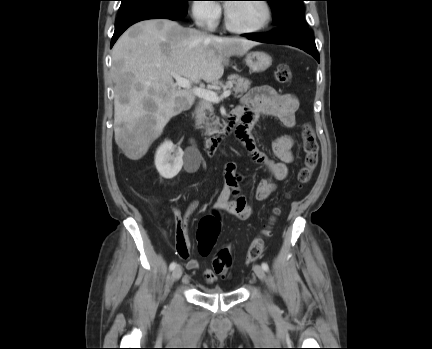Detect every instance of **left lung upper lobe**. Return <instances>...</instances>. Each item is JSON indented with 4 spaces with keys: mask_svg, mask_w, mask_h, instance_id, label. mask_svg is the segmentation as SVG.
<instances>
[{
    "mask_svg": "<svg viewBox=\"0 0 432 349\" xmlns=\"http://www.w3.org/2000/svg\"><path fill=\"white\" fill-rule=\"evenodd\" d=\"M269 2L274 23L278 28H296L309 30L304 19V0H266ZM257 34V33H253Z\"/></svg>",
    "mask_w": 432,
    "mask_h": 349,
    "instance_id": "obj_1",
    "label": "left lung upper lobe"
}]
</instances>
